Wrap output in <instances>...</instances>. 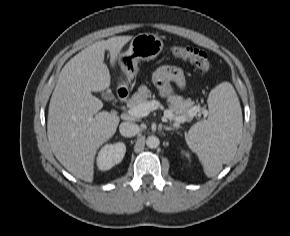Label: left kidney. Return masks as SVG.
Listing matches in <instances>:
<instances>
[{
    "instance_id": "obj_1",
    "label": "left kidney",
    "mask_w": 290,
    "mask_h": 236,
    "mask_svg": "<svg viewBox=\"0 0 290 236\" xmlns=\"http://www.w3.org/2000/svg\"><path fill=\"white\" fill-rule=\"evenodd\" d=\"M185 156H186V157H189V154H188V153H185Z\"/></svg>"
}]
</instances>
